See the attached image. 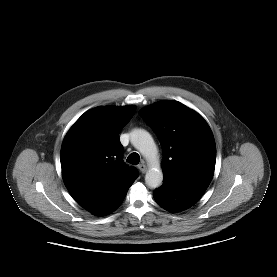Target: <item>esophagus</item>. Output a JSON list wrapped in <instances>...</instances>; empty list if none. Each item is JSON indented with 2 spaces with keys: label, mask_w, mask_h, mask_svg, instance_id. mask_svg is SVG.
I'll list each match as a JSON object with an SVG mask.
<instances>
[{
  "label": "esophagus",
  "mask_w": 277,
  "mask_h": 277,
  "mask_svg": "<svg viewBox=\"0 0 277 277\" xmlns=\"http://www.w3.org/2000/svg\"><path fill=\"white\" fill-rule=\"evenodd\" d=\"M138 168L142 173H145L147 171V166L144 163L139 164Z\"/></svg>",
  "instance_id": "34e87169"
}]
</instances>
